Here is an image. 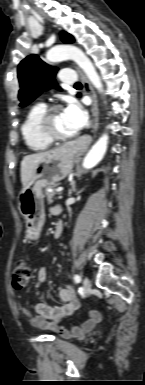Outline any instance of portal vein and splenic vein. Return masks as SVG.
<instances>
[{
	"label": "portal vein and splenic vein",
	"instance_id": "18ae733b",
	"mask_svg": "<svg viewBox=\"0 0 145 385\" xmlns=\"http://www.w3.org/2000/svg\"><path fill=\"white\" fill-rule=\"evenodd\" d=\"M58 193H60V192H62L63 191V187H59V188H57V190H56Z\"/></svg>",
	"mask_w": 145,
	"mask_h": 385
}]
</instances>
